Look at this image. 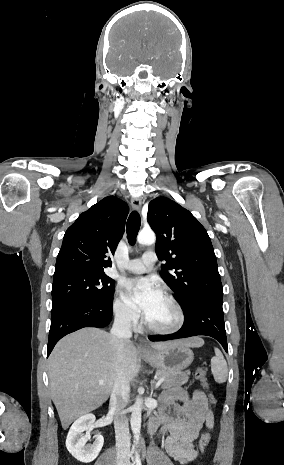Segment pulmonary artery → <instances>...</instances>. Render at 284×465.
Here are the masks:
<instances>
[{
    "label": "pulmonary artery",
    "instance_id": "e3ab8cb5",
    "mask_svg": "<svg viewBox=\"0 0 284 465\" xmlns=\"http://www.w3.org/2000/svg\"><path fill=\"white\" fill-rule=\"evenodd\" d=\"M155 261L156 252L150 251L149 254L144 253L140 258L126 262L123 267L131 273L141 274L146 272Z\"/></svg>",
    "mask_w": 284,
    "mask_h": 465
}]
</instances>
